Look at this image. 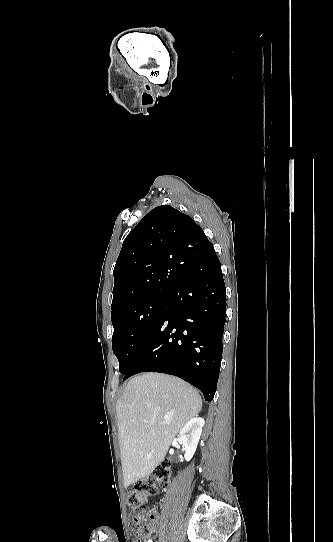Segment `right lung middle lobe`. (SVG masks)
Segmentation results:
<instances>
[{
  "label": "right lung middle lobe",
  "instance_id": "right-lung-middle-lobe-1",
  "mask_svg": "<svg viewBox=\"0 0 333 542\" xmlns=\"http://www.w3.org/2000/svg\"><path fill=\"white\" fill-rule=\"evenodd\" d=\"M168 303V293L124 308L112 317L113 352L119 361V371L125 374L139 347L150 333Z\"/></svg>",
  "mask_w": 333,
  "mask_h": 542
}]
</instances>
